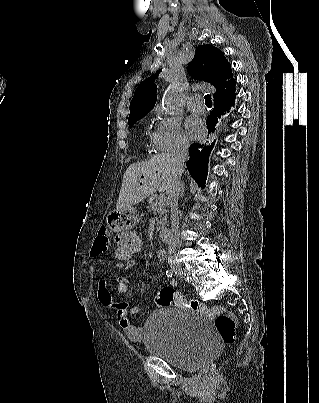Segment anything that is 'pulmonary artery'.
I'll return each instance as SVG.
<instances>
[{
  "instance_id": "obj_1",
  "label": "pulmonary artery",
  "mask_w": 319,
  "mask_h": 403,
  "mask_svg": "<svg viewBox=\"0 0 319 403\" xmlns=\"http://www.w3.org/2000/svg\"><path fill=\"white\" fill-rule=\"evenodd\" d=\"M188 108L195 112H203L205 103L199 95H193L187 102Z\"/></svg>"
}]
</instances>
